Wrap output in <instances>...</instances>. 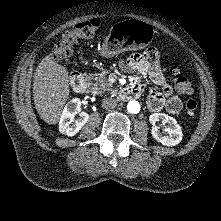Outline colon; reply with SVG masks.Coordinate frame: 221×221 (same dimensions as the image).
Wrapping results in <instances>:
<instances>
[{
	"label": "colon",
	"instance_id": "colon-1",
	"mask_svg": "<svg viewBox=\"0 0 221 221\" xmlns=\"http://www.w3.org/2000/svg\"><path fill=\"white\" fill-rule=\"evenodd\" d=\"M99 19L92 18L76 24L71 30L64 32L61 39L54 46L52 58L56 61H62L69 58L78 43L82 40L95 36L99 30ZM146 54L153 61L159 59V53L155 49H149ZM172 77L176 88L181 94L187 95L185 100L186 115L192 118L197 111V100L192 96L193 86L177 67L171 69Z\"/></svg>",
	"mask_w": 221,
	"mask_h": 221
}]
</instances>
